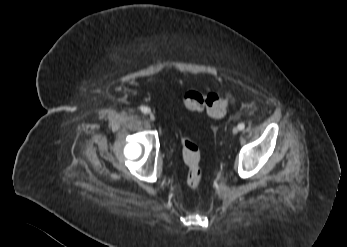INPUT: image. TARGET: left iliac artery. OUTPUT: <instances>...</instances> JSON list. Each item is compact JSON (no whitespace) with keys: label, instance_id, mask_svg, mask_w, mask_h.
<instances>
[{"label":"left iliac artery","instance_id":"44dca946","mask_svg":"<svg viewBox=\"0 0 347 247\" xmlns=\"http://www.w3.org/2000/svg\"><path fill=\"white\" fill-rule=\"evenodd\" d=\"M245 128V124L244 123H240L239 125H238V129L239 130H243Z\"/></svg>","mask_w":347,"mask_h":247}]
</instances>
